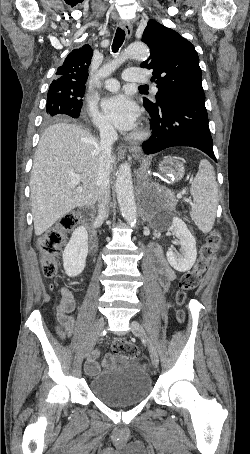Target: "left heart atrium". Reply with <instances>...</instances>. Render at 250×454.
<instances>
[{
	"mask_svg": "<svg viewBox=\"0 0 250 454\" xmlns=\"http://www.w3.org/2000/svg\"><path fill=\"white\" fill-rule=\"evenodd\" d=\"M102 110L118 129L130 131L137 125L139 109L136 103L125 94H115L102 101Z\"/></svg>",
	"mask_w": 250,
	"mask_h": 454,
	"instance_id": "1",
	"label": "left heart atrium"
}]
</instances>
